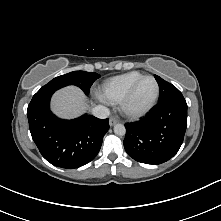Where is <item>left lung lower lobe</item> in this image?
<instances>
[{"label": "left lung lower lobe", "mask_w": 221, "mask_h": 221, "mask_svg": "<svg viewBox=\"0 0 221 221\" xmlns=\"http://www.w3.org/2000/svg\"><path fill=\"white\" fill-rule=\"evenodd\" d=\"M124 147L134 160L161 164L171 159L183 143L187 127V103L175 98L158 103L139 122L125 124Z\"/></svg>", "instance_id": "1"}]
</instances>
